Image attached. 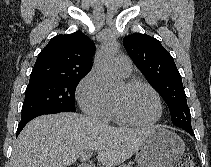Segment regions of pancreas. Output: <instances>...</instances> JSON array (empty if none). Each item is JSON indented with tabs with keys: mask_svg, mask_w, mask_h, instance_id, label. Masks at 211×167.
Here are the masks:
<instances>
[{
	"mask_svg": "<svg viewBox=\"0 0 211 167\" xmlns=\"http://www.w3.org/2000/svg\"><path fill=\"white\" fill-rule=\"evenodd\" d=\"M120 167H131L130 165H121Z\"/></svg>",
	"mask_w": 211,
	"mask_h": 167,
	"instance_id": "obj_1",
	"label": "pancreas"
}]
</instances>
